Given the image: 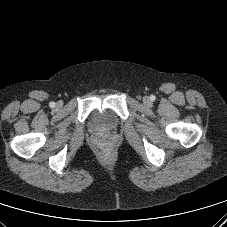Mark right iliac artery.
Here are the masks:
<instances>
[{"label":"right iliac artery","mask_w":227,"mask_h":227,"mask_svg":"<svg viewBox=\"0 0 227 227\" xmlns=\"http://www.w3.org/2000/svg\"><path fill=\"white\" fill-rule=\"evenodd\" d=\"M50 107L53 108L55 106V103L54 102H50Z\"/></svg>","instance_id":"right-iliac-artery-1"}]
</instances>
